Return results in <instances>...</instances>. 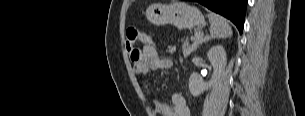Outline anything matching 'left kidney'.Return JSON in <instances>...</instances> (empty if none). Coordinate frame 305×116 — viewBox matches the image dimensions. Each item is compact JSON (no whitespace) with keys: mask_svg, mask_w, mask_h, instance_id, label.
I'll return each instance as SVG.
<instances>
[{"mask_svg":"<svg viewBox=\"0 0 305 116\" xmlns=\"http://www.w3.org/2000/svg\"><path fill=\"white\" fill-rule=\"evenodd\" d=\"M207 57L214 68L212 79L209 82H204L198 73H192L189 78V90L194 97L211 88L219 79L227 64L226 52L221 45L212 47L208 51Z\"/></svg>","mask_w":305,"mask_h":116,"instance_id":"obj_1","label":"left kidney"}]
</instances>
